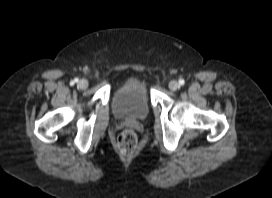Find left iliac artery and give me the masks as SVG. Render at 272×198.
<instances>
[{"mask_svg": "<svg viewBox=\"0 0 272 198\" xmlns=\"http://www.w3.org/2000/svg\"><path fill=\"white\" fill-rule=\"evenodd\" d=\"M184 83H185V81H184L183 79H180V80H179V84H180V85H184Z\"/></svg>", "mask_w": 272, "mask_h": 198, "instance_id": "1", "label": "left iliac artery"}]
</instances>
